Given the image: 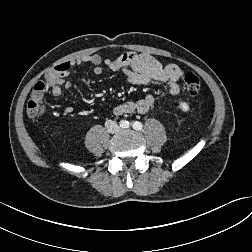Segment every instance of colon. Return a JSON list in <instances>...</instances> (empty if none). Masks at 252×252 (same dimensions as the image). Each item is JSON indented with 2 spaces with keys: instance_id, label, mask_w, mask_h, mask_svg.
Segmentation results:
<instances>
[{
  "instance_id": "colon-1",
  "label": "colon",
  "mask_w": 252,
  "mask_h": 252,
  "mask_svg": "<svg viewBox=\"0 0 252 252\" xmlns=\"http://www.w3.org/2000/svg\"><path fill=\"white\" fill-rule=\"evenodd\" d=\"M63 67L60 65L56 69L47 74L46 80L44 82H37L31 94V98L27 103V114L31 118L39 117L44 112V96L47 87L51 82H57L62 72ZM181 80L190 95L198 94L202 89V83L199 77L192 73L187 72L181 76Z\"/></svg>"
}]
</instances>
